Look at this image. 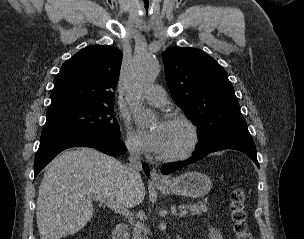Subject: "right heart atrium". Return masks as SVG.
I'll list each match as a JSON object with an SVG mask.
<instances>
[{
    "label": "right heart atrium",
    "instance_id": "right-heart-atrium-1",
    "mask_svg": "<svg viewBox=\"0 0 304 239\" xmlns=\"http://www.w3.org/2000/svg\"><path fill=\"white\" fill-rule=\"evenodd\" d=\"M126 145L129 149V151L132 152L133 154H139L142 151V148H141L137 138L130 130L127 131Z\"/></svg>",
    "mask_w": 304,
    "mask_h": 239
}]
</instances>
